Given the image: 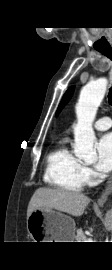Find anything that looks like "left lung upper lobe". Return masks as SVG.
I'll return each instance as SVG.
<instances>
[{
  "instance_id": "obj_1",
  "label": "left lung upper lobe",
  "mask_w": 112,
  "mask_h": 270,
  "mask_svg": "<svg viewBox=\"0 0 112 270\" xmlns=\"http://www.w3.org/2000/svg\"><path fill=\"white\" fill-rule=\"evenodd\" d=\"M73 93V87L69 88L66 93L64 94L62 101L58 107L57 113L56 115L59 114V112L61 111L62 107L68 102V100L70 99V97L72 96Z\"/></svg>"
}]
</instances>
